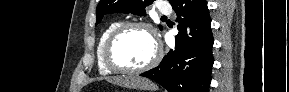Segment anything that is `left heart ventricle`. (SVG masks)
Here are the masks:
<instances>
[{"mask_svg":"<svg viewBox=\"0 0 289 92\" xmlns=\"http://www.w3.org/2000/svg\"><path fill=\"white\" fill-rule=\"evenodd\" d=\"M154 52L155 44L150 33L142 28H132L119 38L113 55L119 64L137 68L148 63Z\"/></svg>","mask_w":289,"mask_h":92,"instance_id":"1","label":"left heart ventricle"}]
</instances>
